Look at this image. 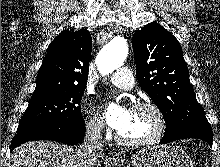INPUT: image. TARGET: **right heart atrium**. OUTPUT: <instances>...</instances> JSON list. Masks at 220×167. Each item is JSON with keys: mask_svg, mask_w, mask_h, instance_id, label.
<instances>
[{"mask_svg": "<svg viewBox=\"0 0 220 167\" xmlns=\"http://www.w3.org/2000/svg\"><path fill=\"white\" fill-rule=\"evenodd\" d=\"M85 128L87 133L92 136H99L103 133L104 121L97 111L93 109H89L87 111V116L85 117Z\"/></svg>", "mask_w": 220, "mask_h": 167, "instance_id": "right-heart-atrium-1", "label": "right heart atrium"}]
</instances>
